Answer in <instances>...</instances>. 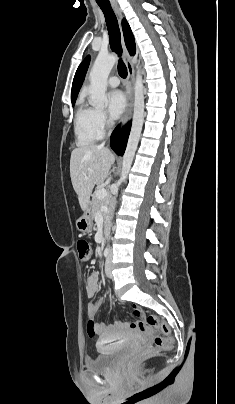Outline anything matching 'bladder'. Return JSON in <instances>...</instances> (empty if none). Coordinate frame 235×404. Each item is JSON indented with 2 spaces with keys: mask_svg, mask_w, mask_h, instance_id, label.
I'll use <instances>...</instances> for the list:
<instances>
[{
  "mask_svg": "<svg viewBox=\"0 0 235 404\" xmlns=\"http://www.w3.org/2000/svg\"><path fill=\"white\" fill-rule=\"evenodd\" d=\"M99 353L92 359L85 361V366L92 372L105 373L109 372L120 358L123 348L100 346Z\"/></svg>",
  "mask_w": 235,
  "mask_h": 404,
  "instance_id": "1",
  "label": "bladder"
}]
</instances>
